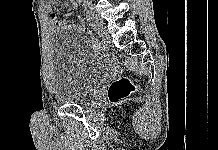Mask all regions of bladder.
Instances as JSON below:
<instances>
[{
    "mask_svg": "<svg viewBox=\"0 0 218 150\" xmlns=\"http://www.w3.org/2000/svg\"><path fill=\"white\" fill-rule=\"evenodd\" d=\"M53 52L52 92L62 104H82L94 97L112 70L100 50L72 32L57 33Z\"/></svg>",
    "mask_w": 218,
    "mask_h": 150,
    "instance_id": "31cf9c89",
    "label": "bladder"
}]
</instances>
